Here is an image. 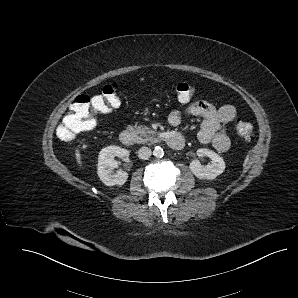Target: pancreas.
I'll use <instances>...</instances> for the list:
<instances>
[{
	"label": "pancreas",
	"instance_id": "obj_1",
	"mask_svg": "<svg viewBox=\"0 0 298 298\" xmlns=\"http://www.w3.org/2000/svg\"><path fill=\"white\" fill-rule=\"evenodd\" d=\"M134 133L139 137L138 143H147L148 141H156L157 132L147 126H137L133 129Z\"/></svg>",
	"mask_w": 298,
	"mask_h": 298
}]
</instances>
